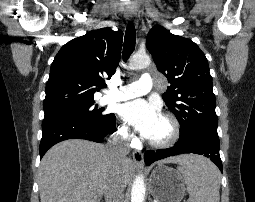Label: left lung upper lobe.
<instances>
[{
	"mask_svg": "<svg viewBox=\"0 0 255 202\" xmlns=\"http://www.w3.org/2000/svg\"><path fill=\"white\" fill-rule=\"evenodd\" d=\"M147 49L170 83L163 99L181 125L179 139L218 137L212 78L200 48L192 40L156 25L147 36Z\"/></svg>",
	"mask_w": 255,
	"mask_h": 202,
	"instance_id": "obj_1",
	"label": "left lung upper lobe"
}]
</instances>
